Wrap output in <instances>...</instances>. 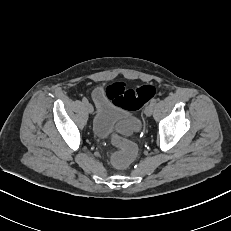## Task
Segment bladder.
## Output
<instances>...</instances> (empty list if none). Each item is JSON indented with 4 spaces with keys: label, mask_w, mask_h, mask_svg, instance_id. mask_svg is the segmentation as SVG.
I'll return each mask as SVG.
<instances>
[{
    "label": "bladder",
    "mask_w": 231,
    "mask_h": 231,
    "mask_svg": "<svg viewBox=\"0 0 231 231\" xmlns=\"http://www.w3.org/2000/svg\"><path fill=\"white\" fill-rule=\"evenodd\" d=\"M93 100L96 110L92 122V133L95 138L104 140L113 134L115 125L128 117L126 109L109 100L103 87H97L93 91Z\"/></svg>",
    "instance_id": "31cf9c89"
}]
</instances>
